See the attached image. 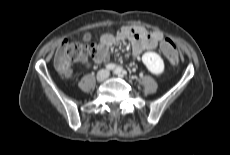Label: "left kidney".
I'll use <instances>...</instances> for the list:
<instances>
[{
	"label": "left kidney",
	"mask_w": 230,
	"mask_h": 155,
	"mask_svg": "<svg viewBox=\"0 0 230 155\" xmlns=\"http://www.w3.org/2000/svg\"><path fill=\"white\" fill-rule=\"evenodd\" d=\"M142 62L152 74L160 75L164 72L163 59L155 52L144 53L142 55Z\"/></svg>",
	"instance_id": "left-kidney-1"
}]
</instances>
